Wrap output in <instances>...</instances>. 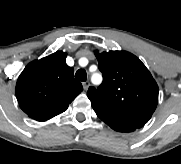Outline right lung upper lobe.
<instances>
[{
	"label": "right lung upper lobe",
	"instance_id": "cb5924a9",
	"mask_svg": "<svg viewBox=\"0 0 181 164\" xmlns=\"http://www.w3.org/2000/svg\"><path fill=\"white\" fill-rule=\"evenodd\" d=\"M67 54L57 51L29 63L16 84L21 109L37 121H46L64 112L83 90L73 78L74 69L66 64Z\"/></svg>",
	"mask_w": 181,
	"mask_h": 164
}]
</instances>
